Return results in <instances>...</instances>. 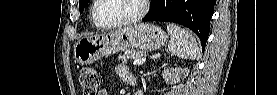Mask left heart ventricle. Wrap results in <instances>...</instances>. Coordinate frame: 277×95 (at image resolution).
<instances>
[{"label": "left heart ventricle", "mask_w": 277, "mask_h": 95, "mask_svg": "<svg viewBox=\"0 0 277 95\" xmlns=\"http://www.w3.org/2000/svg\"><path fill=\"white\" fill-rule=\"evenodd\" d=\"M138 0H101L96 8V18L101 22L127 19L140 11Z\"/></svg>", "instance_id": "obj_1"}]
</instances>
